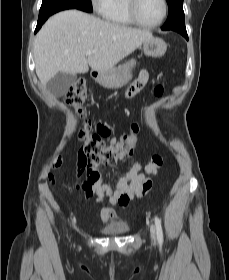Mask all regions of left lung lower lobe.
Wrapping results in <instances>:
<instances>
[{"mask_svg": "<svg viewBox=\"0 0 229 280\" xmlns=\"http://www.w3.org/2000/svg\"><path fill=\"white\" fill-rule=\"evenodd\" d=\"M173 31H176V32L180 33L181 35H183L188 40V35H187L185 27L175 28V29H173Z\"/></svg>", "mask_w": 229, "mask_h": 280, "instance_id": "left-lung-lower-lobe-1", "label": "left lung lower lobe"}]
</instances>
